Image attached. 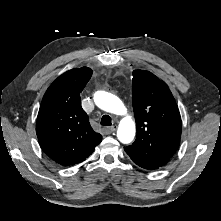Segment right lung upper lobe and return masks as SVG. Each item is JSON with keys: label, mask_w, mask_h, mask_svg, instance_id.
<instances>
[{"label": "right lung upper lobe", "mask_w": 221, "mask_h": 221, "mask_svg": "<svg viewBox=\"0 0 221 221\" xmlns=\"http://www.w3.org/2000/svg\"><path fill=\"white\" fill-rule=\"evenodd\" d=\"M92 73L88 67L63 73L50 85L41 102L36 122L39 144L63 166L84 161L102 141L81 107L80 93Z\"/></svg>", "instance_id": "obj_1"}]
</instances>
